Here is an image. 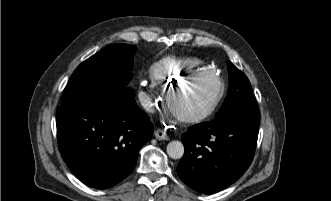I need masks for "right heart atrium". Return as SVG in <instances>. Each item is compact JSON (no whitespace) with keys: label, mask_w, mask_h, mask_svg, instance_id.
<instances>
[{"label":"right heart atrium","mask_w":331,"mask_h":201,"mask_svg":"<svg viewBox=\"0 0 331 201\" xmlns=\"http://www.w3.org/2000/svg\"><path fill=\"white\" fill-rule=\"evenodd\" d=\"M139 99L146 109H154L159 101V92L156 84L150 81H143L139 85Z\"/></svg>","instance_id":"right-heart-atrium-1"}]
</instances>
